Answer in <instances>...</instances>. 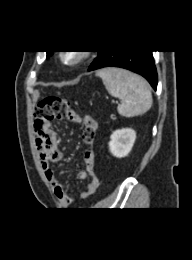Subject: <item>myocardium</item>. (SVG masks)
Instances as JSON below:
<instances>
[{
	"mask_svg": "<svg viewBox=\"0 0 192 260\" xmlns=\"http://www.w3.org/2000/svg\"><path fill=\"white\" fill-rule=\"evenodd\" d=\"M89 57L87 51H65L60 54L62 62L70 66H76Z\"/></svg>",
	"mask_w": 192,
	"mask_h": 260,
	"instance_id": "myocardium-1",
	"label": "myocardium"
}]
</instances>
